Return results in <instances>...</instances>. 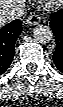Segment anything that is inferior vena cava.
Wrapping results in <instances>:
<instances>
[{"label":"inferior vena cava","mask_w":63,"mask_h":107,"mask_svg":"<svg viewBox=\"0 0 63 107\" xmlns=\"http://www.w3.org/2000/svg\"><path fill=\"white\" fill-rule=\"evenodd\" d=\"M8 3L9 5L5 4ZM25 3L23 0L1 1L0 16L8 21L19 19L24 12Z\"/></svg>","instance_id":"obj_1"}]
</instances>
